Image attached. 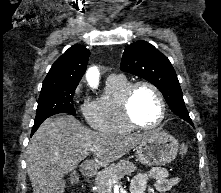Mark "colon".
I'll return each instance as SVG.
<instances>
[{
  "label": "colon",
  "mask_w": 221,
  "mask_h": 193,
  "mask_svg": "<svg viewBox=\"0 0 221 193\" xmlns=\"http://www.w3.org/2000/svg\"><path fill=\"white\" fill-rule=\"evenodd\" d=\"M187 151H188L187 145H186V144H183V145L181 146V148H180L181 154H182V155H185V154L187 153ZM71 180H72L73 182H76V181H77V176H76L75 174H73V175L71 176Z\"/></svg>",
  "instance_id": "5ec220e1"
}]
</instances>
